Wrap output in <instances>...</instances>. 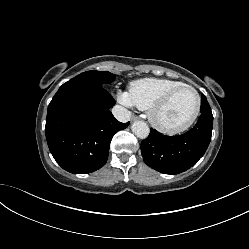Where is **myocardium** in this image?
Here are the masks:
<instances>
[{
	"mask_svg": "<svg viewBox=\"0 0 249 249\" xmlns=\"http://www.w3.org/2000/svg\"><path fill=\"white\" fill-rule=\"evenodd\" d=\"M182 89H189L195 94L196 96L195 109L190 118L184 124L175 127L165 126L157 119V113L168 104V102L171 100L174 94H176L178 91ZM200 109H201V97L198 91L191 85L182 84L168 90L161 98L155 101L148 109V118L151 124L159 131L171 135L179 134L192 126V124L195 122V120L199 115Z\"/></svg>",
	"mask_w": 249,
	"mask_h": 249,
	"instance_id": "1",
	"label": "myocardium"
}]
</instances>
